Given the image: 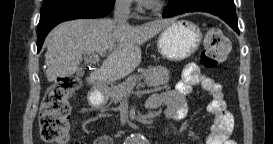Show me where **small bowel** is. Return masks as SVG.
Masks as SVG:
<instances>
[{
	"instance_id": "obj_1",
	"label": "small bowel",
	"mask_w": 273,
	"mask_h": 144,
	"mask_svg": "<svg viewBox=\"0 0 273 144\" xmlns=\"http://www.w3.org/2000/svg\"><path fill=\"white\" fill-rule=\"evenodd\" d=\"M193 86H200L208 93L210 102L207 109L215 117L210 134L206 139V144H231L229 136L233 128V117L226 109L222 86L213 78L202 74L196 65L187 66L183 70L181 80L177 83L176 88L162 95L166 118L178 122L186 117L187 100ZM155 96H151L146 102V109L149 111L157 110L160 106L154 102ZM173 134L180 137V134L175 129ZM93 143L112 144L113 139L110 136L101 135Z\"/></svg>"
}]
</instances>
